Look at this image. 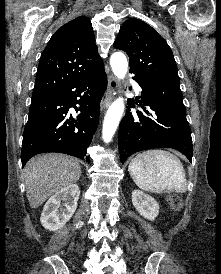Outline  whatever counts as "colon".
<instances>
[{"instance_id": "5ec220e1", "label": "colon", "mask_w": 221, "mask_h": 274, "mask_svg": "<svg viewBox=\"0 0 221 274\" xmlns=\"http://www.w3.org/2000/svg\"><path fill=\"white\" fill-rule=\"evenodd\" d=\"M169 202L171 204V206L175 209L178 210L181 207L182 201L178 196H171L169 198Z\"/></svg>"}]
</instances>
